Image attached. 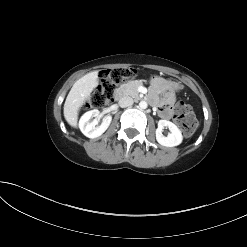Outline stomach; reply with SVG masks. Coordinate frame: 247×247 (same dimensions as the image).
Wrapping results in <instances>:
<instances>
[{
	"label": "stomach",
	"mask_w": 247,
	"mask_h": 247,
	"mask_svg": "<svg viewBox=\"0 0 247 247\" xmlns=\"http://www.w3.org/2000/svg\"><path fill=\"white\" fill-rule=\"evenodd\" d=\"M169 84L174 90H179L181 88L180 82L175 80H169Z\"/></svg>",
	"instance_id": "0dacf381"
}]
</instances>
